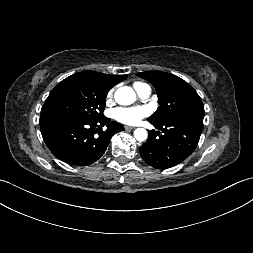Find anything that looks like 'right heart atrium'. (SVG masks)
Listing matches in <instances>:
<instances>
[{"mask_svg": "<svg viewBox=\"0 0 253 253\" xmlns=\"http://www.w3.org/2000/svg\"><path fill=\"white\" fill-rule=\"evenodd\" d=\"M113 95H114V89L109 90L106 96L107 101H111L113 98Z\"/></svg>", "mask_w": 253, "mask_h": 253, "instance_id": "d8ad5b80", "label": "right heart atrium"}]
</instances>
